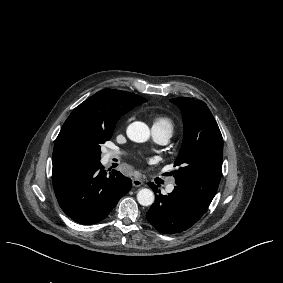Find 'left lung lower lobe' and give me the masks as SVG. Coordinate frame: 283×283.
I'll use <instances>...</instances> for the list:
<instances>
[{
    "label": "left lung lower lobe",
    "instance_id": "1",
    "mask_svg": "<svg viewBox=\"0 0 283 283\" xmlns=\"http://www.w3.org/2000/svg\"><path fill=\"white\" fill-rule=\"evenodd\" d=\"M148 185L158 192V187ZM155 203L147 213L148 222L159 232L179 233L190 228L206 212L210 204L198 199L182 189L175 187L169 195L155 194Z\"/></svg>",
    "mask_w": 283,
    "mask_h": 283
}]
</instances>
